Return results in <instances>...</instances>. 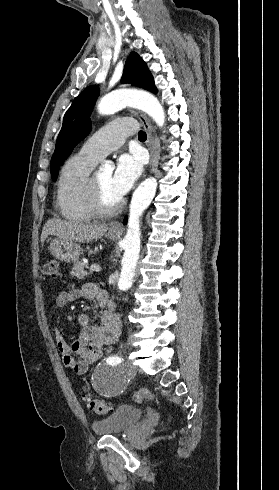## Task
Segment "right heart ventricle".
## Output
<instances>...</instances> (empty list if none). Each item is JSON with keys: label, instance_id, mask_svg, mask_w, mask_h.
<instances>
[{"label": "right heart ventricle", "instance_id": "right-heart-ventricle-1", "mask_svg": "<svg viewBox=\"0 0 279 490\" xmlns=\"http://www.w3.org/2000/svg\"><path fill=\"white\" fill-rule=\"evenodd\" d=\"M96 163L97 161L78 152L68 158L61 167L57 202L62 217L70 222H88L96 216L90 203V174Z\"/></svg>", "mask_w": 279, "mask_h": 490}]
</instances>
